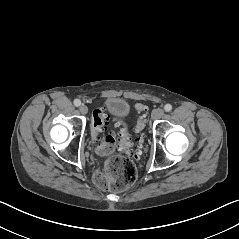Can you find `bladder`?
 Instances as JSON below:
<instances>
[{
  "label": "bladder",
  "instance_id": "bladder-1",
  "mask_svg": "<svg viewBox=\"0 0 239 239\" xmlns=\"http://www.w3.org/2000/svg\"><path fill=\"white\" fill-rule=\"evenodd\" d=\"M106 110L113 116L118 118H125L130 111L128 102L119 97L108 98L104 101Z\"/></svg>",
  "mask_w": 239,
  "mask_h": 239
}]
</instances>
